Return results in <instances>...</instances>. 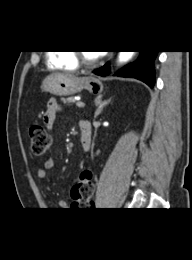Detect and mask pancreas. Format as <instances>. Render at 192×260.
Listing matches in <instances>:
<instances>
[{
    "label": "pancreas",
    "instance_id": "pancreas-1",
    "mask_svg": "<svg viewBox=\"0 0 192 260\" xmlns=\"http://www.w3.org/2000/svg\"><path fill=\"white\" fill-rule=\"evenodd\" d=\"M61 101H62L64 104H70V103H74V102H75V99H74V97H68V98H62Z\"/></svg>",
    "mask_w": 192,
    "mask_h": 260
}]
</instances>
